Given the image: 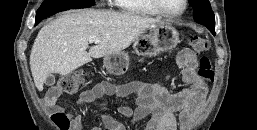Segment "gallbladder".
Segmentation results:
<instances>
[{
    "instance_id": "bac80fb5",
    "label": "gallbladder",
    "mask_w": 257,
    "mask_h": 130,
    "mask_svg": "<svg viewBox=\"0 0 257 130\" xmlns=\"http://www.w3.org/2000/svg\"><path fill=\"white\" fill-rule=\"evenodd\" d=\"M56 80H55V76L54 75H50L47 77L46 81H45V85L46 86H53L55 84Z\"/></svg>"
}]
</instances>
